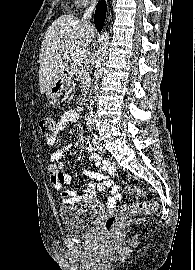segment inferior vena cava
Returning a JSON list of instances; mask_svg holds the SVG:
<instances>
[{
	"instance_id": "602c4592",
	"label": "inferior vena cava",
	"mask_w": 195,
	"mask_h": 270,
	"mask_svg": "<svg viewBox=\"0 0 195 270\" xmlns=\"http://www.w3.org/2000/svg\"><path fill=\"white\" fill-rule=\"evenodd\" d=\"M96 5V0H92V3L88 9H86L84 15H83V20L86 24H89V18H91V15L94 11Z\"/></svg>"
}]
</instances>
